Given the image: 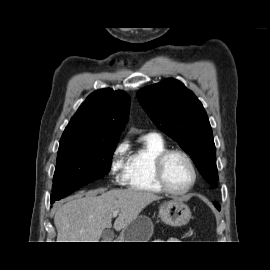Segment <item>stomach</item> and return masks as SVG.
I'll list each match as a JSON object with an SVG mask.
<instances>
[{"label": "stomach", "mask_w": 270, "mask_h": 270, "mask_svg": "<svg viewBox=\"0 0 270 270\" xmlns=\"http://www.w3.org/2000/svg\"><path fill=\"white\" fill-rule=\"evenodd\" d=\"M161 220L174 227L186 225L191 219L189 207L181 200L165 201L159 209ZM153 233V224L149 217L137 216L120 233V242H148Z\"/></svg>", "instance_id": "1"}]
</instances>
